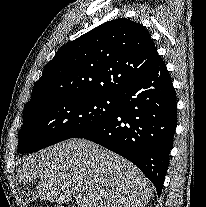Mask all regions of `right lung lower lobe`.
I'll return each mask as SVG.
<instances>
[{
	"mask_svg": "<svg viewBox=\"0 0 206 207\" xmlns=\"http://www.w3.org/2000/svg\"><path fill=\"white\" fill-rule=\"evenodd\" d=\"M177 123L176 94L160 58L144 76L118 94L111 116L77 137L131 161L161 195Z\"/></svg>",
	"mask_w": 206,
	"mask_h": 207,
	"instance_id": "98d812e1",
	"label": "right lung lower lobe"
}]
</instances>
